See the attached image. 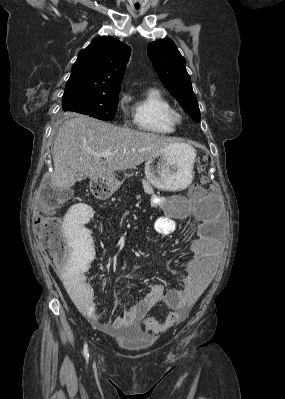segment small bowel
<instances>
[{
  "label": "small bowel",
  "instance_id": "c3829d8e",
  "mask_svg": "<svg viewBox=\"0 0 285 399\" xmlns=\"http://www.w3.org/2000/svg\"><path fill=\"white\" fill-rule=\"evenodd\" d=\"M145 192L150 197L152 205L166 206L165 202L155 196L151 189H146ZM194 214V208L184 204L182 198L172 197L171 202L166 206V216L155 220L153 230L163 236L171 235L176 231L175 217H191ZM89 221V214L83 208H72L66 214L64 218L65 234L70 247L79 246V254L76 255L73 267L67 270L58 269V273L69 296L91 323L105 333L116 334L124 328L135 326L141 322L157 303H163L170 309V312L163 321L158 322L150 329L151 333L163 334L184 320L206 289L212 274L214 258L206 246L208 237L201 235L190 241L189 248L192 258L186 267L181 288L165 290L164 286L158 283L136 304L125 302L127 310L108 322L105 316L96 309L93 302V290L85 277L88 263L93 259L89 256ZM171 315H175L177 320H172Z\"/></svg>",
  "mask_w": 285,
  "mask_h": 399
}]
</instances>
